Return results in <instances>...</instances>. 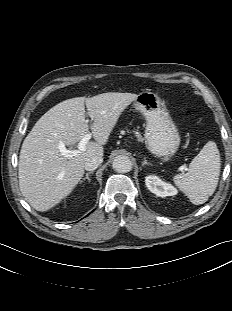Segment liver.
<instances>
[{"instance_id":"6515ba94","label":"liver","mask_w":232,"mask_h":311,"mask_svg":"<svg viewBox=\"0 0 232 311\" xmlns=\"http://www.w3.org/2000/svg\"><path fill=\"white\" fill-rule=\"evenodd\" d=\"M136 94L108 92L91 98L76 97L48 110L24 139L18 164L19 187L25 200L37 211H47L68 196L84 175V164L103 156L105 145L122 112ZM95 141L73 157L61 154L58 145H75L89 131Z\"/></svg>"}]
</instances>
